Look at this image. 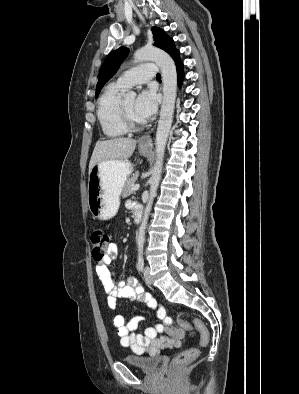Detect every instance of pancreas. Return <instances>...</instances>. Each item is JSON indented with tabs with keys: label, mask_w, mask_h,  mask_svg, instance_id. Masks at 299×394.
Instances as JSON below:
<instances>
[{
	"label": "pancreas",
	"mask_w": 299,
	"mask_h": 394,
	"mask_svg": "<svg viewBox=\"0 0 299 394\" xmlns=\"http://www.w3.org/2000/svg\"><path fill=\"white\" fill-rule=\"evenodd\" d=\"M138 176H139V173L136 172L127 179L126 184L123 189V192H122L123 198L128 197L129 195L134 193L133 187L135 185V182L138 179Z\"/></svg>",
	"instance_id": "1"
}]
</instances>
